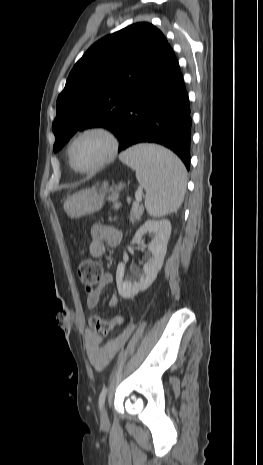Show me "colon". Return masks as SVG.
<instances>
[{"instance_id": "5ec220e1", "label": "colon", "mask_w": 263, "mask_h": 465, "mask_svg": "<svg viewBox=\"0 0 263 465\" xmlns=\"http://www.w3.org/2000/svg\"><path fill=\"white\" fill-rule=\"evenodd\" d=\"M112 200L114 201V206L117 207L115 197H112ZM77 272L80 283L85 290L89 293L95 291L103 274L100 264L82 252V258L78 263ZM122 323L123 318L121 316H115L110 320H105L97 315H92L88 319L90 329L102 334L111 332Z\"/></svg>"}]
</instances>
